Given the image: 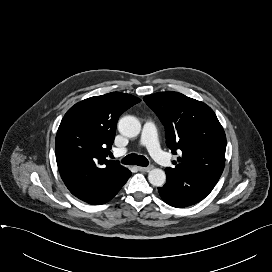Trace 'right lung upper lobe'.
Segmentation results:
<instances>
[{
    "instance_id": "obj_1",
    "label": "right lung upper lobe",
    "mask_w": 272,
    "mask_h": 272,
    "mask_svg": "<svg viewBox=\"0 0 272 272\" xmlns=\"http://www.w3.org/2000/svg\"><path fill=\"white\" fill-rule=\"evenodd\" d=\"M140 101L130 94L111 92L85 99L66 112L56 135V161L66 187L80 200H98L130 174L106 157L118 118Z\"/></svg>"
}]
</instances>
